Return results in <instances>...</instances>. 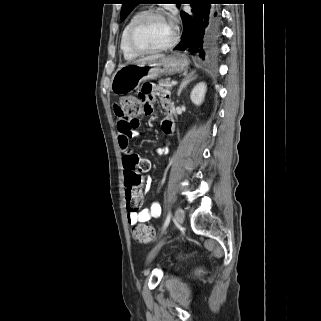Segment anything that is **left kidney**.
<instances>
[{"mask_svg": "<svg viewBox=\"0 0 321 321\" xmlns=\"http://www.w3.org/2000/svg\"><path fill=\"white\" fill-rule=\"evenodd\" d=\"M206 88H207L206 84L201 82V83H198L191 91L190 99L195 105L199 106L202 104L205 97Z\"/></svg>", "mask_w": 321, "mask_h": 321, "instance_id": "1", "label": "left kidney"}]
</instances>
